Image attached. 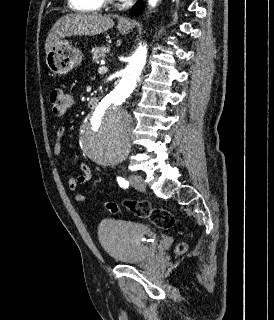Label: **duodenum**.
<instances>
[{"instance_id":"1","label":"duodenum","mask_w":274,"mask_h":320,"mask_svg":"<svg viewBox=\"0 0 274 320\" xmlns=\"http://www.w3.org/2000/svg\"><path fill=\"white\" fill-rule=\"evenodd\" d=\"M88 104H89V107L95 108L99 104V99L97 97L93 96V97L89 98Z\"/></svg>"}]
</instances>
